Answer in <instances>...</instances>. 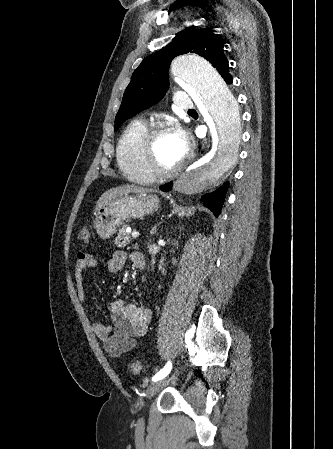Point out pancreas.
<instances>
[{
    "instance_id": "obj_1",
    "label": "pancreas",
    "mask_w": 333,
    "mask_h": 449,
    "mask_svg": "<svg viewBox=\"0 0 333 449\" xmlns=\"http://www.w3.org/2000/svg\"><path fill=\"white\" fill-rule=\"evenodd\" d=\"M127 226H123L118 233V236L115 239V244L118 247H125L126 245H128V243H130L131 239V234L130 232H127L126 230Z\"/></svg>"
}]
</instances>
